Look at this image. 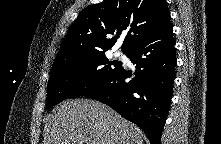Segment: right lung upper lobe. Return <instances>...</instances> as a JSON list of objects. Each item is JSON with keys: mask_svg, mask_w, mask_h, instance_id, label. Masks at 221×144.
I'll return each instance as SVG.
<instances>
[{"mask_svg": "<svg viewBox=\"0 0 221 144\" xmlns=\"http://www.w3.org/2000/svg\"><path fill=\"white\" fill-rule=\"evenodd\" d=\"M170 24L166 0H103L85 8L70 26L52 68L105 53L121 34H126L121 46L126 53Z\"/></svg>", "mask_w": 221, "mask_h": 144, "instance_id": "1", "label": "right lung upper lobe"}]
</instances>
